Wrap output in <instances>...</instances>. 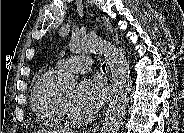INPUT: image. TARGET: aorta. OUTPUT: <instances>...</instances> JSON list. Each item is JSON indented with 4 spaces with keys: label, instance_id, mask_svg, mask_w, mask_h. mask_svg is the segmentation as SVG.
Listing matches in <instances>:
<instances>
[{
    "label": "aorta",
    "instance_id": "1",
    "mask_svg": "<svg viewBox=\"0 0 184 133\" xmlns=\"http://www.w3.org/2000/svg\"><path fill=\"white\" fill-rule=\"evenodd\" d=\"M69 47L75 54L97 52L105 57L112 74V97L101 133H118L126 113L130 90V70L124 53L104 39L87 35H73ZM75 84L74 75H63L62 85L65 88H73Z\"/></svg>",
    "mask_w": 184,
    "mask_h": 133
}]
</instances>
